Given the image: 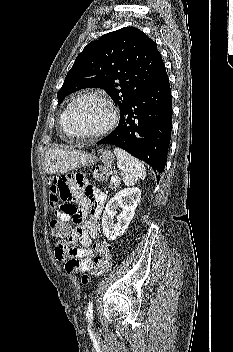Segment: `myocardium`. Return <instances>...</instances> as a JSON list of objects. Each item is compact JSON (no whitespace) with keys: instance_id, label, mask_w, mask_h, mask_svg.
I'll use <instances>...</instances> for the list:
<instances>
[{"instance_id":"obj_1","label":"myocardium","mask_w":233,"mask_h":352,"mask_svg":"<svg viewBox=\"0 0 233 352\" xmlns=\"http://www.w3.org/2000/svg\"><path fill=\"white\" fill-rule=\"evenodd\" d=\"M85 98H92L101 101L103 104L106 105V107L109 110V119L107 123L100 128L99 130L92 132V133H76L73 131L72 126H71V112L73 107L82 99ZM118 120V112L113 104V102L107 98L106 96L97 93V92H87L78 95L75 99L71 101V103L68 105L67 112H66V127L68 129L69 135L77 138V139H96L99 138L105 134H107L109 131H111L114 126L116 125Z\"/></svg>"}]
</instances>
